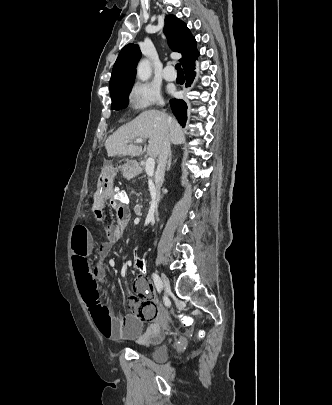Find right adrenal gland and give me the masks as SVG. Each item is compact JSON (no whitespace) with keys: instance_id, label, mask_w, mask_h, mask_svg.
Masks as SVG:
<instances>
[{"instance_id":"2a0ac1e0","label":"right adrenal gland","mask_w":332,"mask_h":405,"mask_svg":"<svg viewBox=\"0 0 332 405\" xmlns=\"http://www.w3.org/2000/svg\"><path fill=\"white\" fill-rule=\"evenodd\" d=\"M171 163H172V151H170L169 157H168V162H167V167H166L167 172L170 170Z\"/></svg>"}]
</instances>
